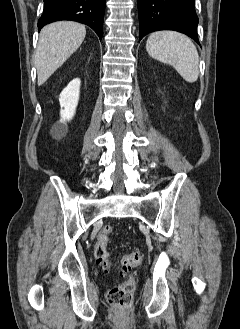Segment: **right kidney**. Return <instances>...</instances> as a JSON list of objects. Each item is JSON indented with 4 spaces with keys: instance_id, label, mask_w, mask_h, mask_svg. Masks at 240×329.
<instances>
[{
    "instance_id": "right-kidney-1",
    "label": "right kidney",
    "mask_w": 240,
    "mask_h": 329,
    "mask_svg": "<svg viewBox=\"0 0 240 329\" xmlns=\"http://www.w3.org/2000/svg\"><path fill=\"white\" fill-rule=\"evenodd\" d=\"M80 79H73L60 94L61 119L52 126V134L55 137H62L67 133L66 122L71 120L75 114L79 100Z\"/></svg>"
}]
</instances>
